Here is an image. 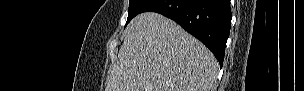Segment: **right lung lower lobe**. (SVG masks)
<instances>
[{"instance_id": "1", "label": "right lung lower lobe", "mask_w": 304, "mask_h": 91, "mask_svg": "<svg viewBox=\"0 0 304 91\" xmlns=\"http://www.w3.org/2000/svg\"><path fill=\"white\" fill-rule=\"evenodd\" d=\"M143 12L174 20L208 47L222 67L232 18L230 0H151Z\"/></svg>"}]
</instances>
